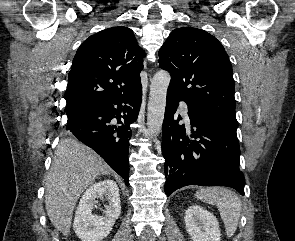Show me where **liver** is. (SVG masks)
Instances as JSON below:
<instances>
[{
    "label": "liver",
    "mask_w": 295,
    "mask_h": 241,
    "mask_svg": "<svg viewBox=\"0 0 295 241\" xmlns=\"http://www.w3.org/2000/svg\"><path fill=\"white\" fill-rule=\"evenodd\" d=\"M110 167L92 149L74 139L62 140L46 177L45 207L55 228L70 233L74 207L82 192Z\"/></svg>",
    "instance_id": "6515ba94"
}]
</instances>
